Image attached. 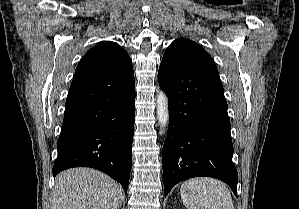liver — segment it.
<instances>
[{"instance_id":"6515ba94","label":"liver","mask_w":299,"mask_h":209,"mask_svg":"<svg viewBox=\"0 0 299 209\" xmlns=\"http://www.w3.org/2000/svg\"><path fill=\"white\" fill-rule=\"evenodd\" d=\"M124 191L115 180L91 168H73L56 177L54 209H119Z\"/></svg>"}]
</instances>
